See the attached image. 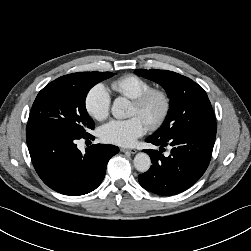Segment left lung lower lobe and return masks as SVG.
<instances>
[{"mask_svg": "<svg viewBox=\"0 0 251 251\" xmlns=\"http://www.w3.org/2000/svg\"><path fill=\"white\" fill-rule=\"evenodd\" d=\"M216 130L185 131L167 139L148 137L146 142L160 147L172 146L165 157L157 150H144L152 166L138 180L142 187L159 195H175L195 184L206 171L215 142Z\"/></svg>", "mask_w": 251, "mask_h": 251, "instance_id": "1", "label": "left lung lower lobe"}]
</instances>
